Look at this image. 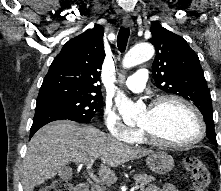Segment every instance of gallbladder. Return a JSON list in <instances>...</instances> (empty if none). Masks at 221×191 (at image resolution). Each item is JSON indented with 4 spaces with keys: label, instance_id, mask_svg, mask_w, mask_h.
Returning <instances> with one entry per match:
<instances>
[{
    "label": "gallbladder",
    "instance_id": "obj_1",
    "mask_svg": "<svg viewBox=\"0 0 221 191\" xmlns=\"http://www.w3.org/2000/svg\"><path fill=\"white\" fill-rule=\"evenodd\" d=\"M72 174V171L68 167H64L60 170L59 175L61 177H69Z\"/></svg>",
    "mask_w": 221,
    "mask_h": 191
}]
</instances>
